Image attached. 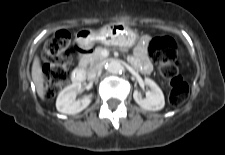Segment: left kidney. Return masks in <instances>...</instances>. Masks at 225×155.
I'll use <instances>...</instances> for the list:
<instances>
[{
    "instance_id": "5707ae66",
    "label": "left kidney",
    "mask_w": 225,
    "mask_h": 155,
    "mask_svg": "<svg viewBox=\"0 0 225 155\" xmlns=\"http://www.w3.org/2000/svg\"><path fill=\"white\" fill-rule=\"evenodd\" d=\"M145 84L150 90L146 92V98H143L137 90L133 93V98L136 103L145 110L158 111L165 105V99L162 90L151 79L145 78Z\"/></svg>"
}]
</instances>
